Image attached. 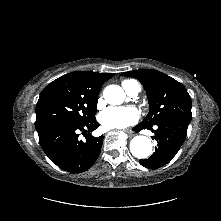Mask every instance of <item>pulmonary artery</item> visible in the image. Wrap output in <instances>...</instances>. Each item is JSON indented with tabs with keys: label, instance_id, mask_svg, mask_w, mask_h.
I'll list each match as a JSON object with an SVG mask.
<instances>
[{
	"label": "pulmonary artery",
	"instance_id": "1",
	"mask_svg": "<svg viewBox=\"0 0 221 221\" xmlns=\"http://www.w3.org/2000/svg\"><path fill=\"white\" fill-rule=\"evenodd\" d=\"M127 94L131 97H136L140 91V86L138 83H131L123 86Z\"/></svg>",
	"mask_w": 221,
	"mask_h": 221
}]
</instances>
